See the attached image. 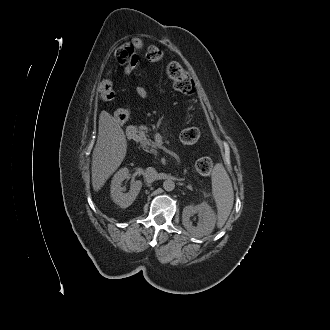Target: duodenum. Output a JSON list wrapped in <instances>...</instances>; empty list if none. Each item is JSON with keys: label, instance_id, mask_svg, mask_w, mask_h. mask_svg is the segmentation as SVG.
Listing matches in <instances>:
<instances>
[{"label": "duodenum", "instance_id": "410a0bca", "mask_svg": "<svg viewBox=\"0 0 330 330\" xmlns=\"http://www.w3.org/2000/svg\"><path fill=\"white\" fill-rule=\"evenodd\" d=\"M136 129L134 127H128L126 130V136L128 139L132 140L135 136Z\"/></svg>", "mask_w": 330, "mask_h": 330}]
</instances>
